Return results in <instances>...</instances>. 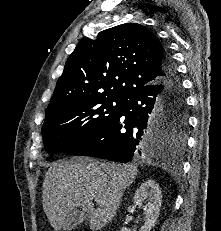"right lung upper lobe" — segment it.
<instances>
[{
  "mask_svg": "<svg viewBox=\"0 0 221 231\" xmlns=\"http://www.w3.org/2000/svg\"><path fill=\"white\" fill-rule=\"evenodd\" d=\"M164 47L145 26L126 23L84 39L69 56L45 118L76 99L114 96L125 99L163 78Z\"/></svg>",
  "mask_w": 221,
  "mask_h": 231,
  "instance_id": "cb5924a9",
  "label": "right lung upper lobe"
}]
</instances>
